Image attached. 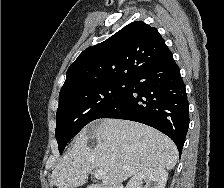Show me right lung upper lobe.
<instances>
[{
  "label": "right lung upper lobe",
  "mask_w": 224,
  "mask_h": 188,
  "mask_svg": "<svg viewBox=\"0 0 224 188\" xmlns=\"http://www.w3.org/2000/svg\"><path fill=\"white\" fill-rule=\"evenodd\" d=\"M170 55L156 28L135 21L85 49L68 68L61 91L106 81H130Z\"/></svg>",
  "instance_id": "cb5924a9"
}]
</instances>
